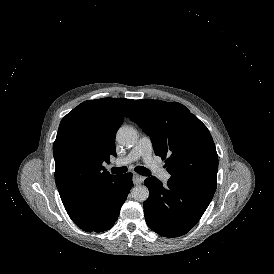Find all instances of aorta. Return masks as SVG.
<instances>
[{"mask_svg":"<svg viewBox=\"0 0 274 274\" xmlns=\"http://www.w3.org/2000/svg\"><path fill=\"white\" fill-rule=\"evenodd\" d=\"M116 139L119 144L126 147H132L133 145L136 144L138 140V134L134 128L129 126H122L117 131ZM131 193L134 200L139 202H144L149 197V190L144 185L135 186L132 189Z\"/></svg>","mask_w":274,"mask_h":274,"instance_id":"1","label":"aorta"}]
</instances>
